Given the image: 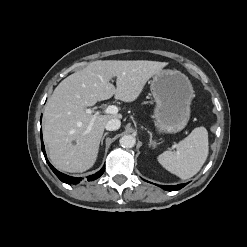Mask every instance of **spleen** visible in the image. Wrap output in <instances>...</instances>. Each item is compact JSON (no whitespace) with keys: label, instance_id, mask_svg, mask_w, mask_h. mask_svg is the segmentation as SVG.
I'll use <instances>...</instances> for the list:
<instances>
[{"label":"spleen","instance_id":"spleen-1","mask_svg":"<svg viewBox=\"0 0 247 247\" xmlns=\"http://www.w3.org/2000/svg\"><path fill=\"white\" fill-rule=\"evenodd\" d=\"M208 132L205 127H196L177 145V152L165 151L158 162L181 179H188L199 172L208 156Z\"/></svg>","mask_w":247,"mask_h":247}]
</instances>
